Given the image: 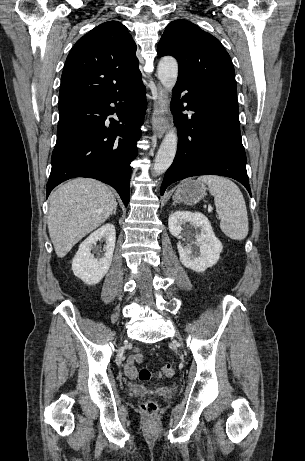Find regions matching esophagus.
<instances>
[{"mask_svg":"<svg viewBox=\"0 0 305 461\" xmlns=\"http://www.w3.org/2000/svg\"><path fill=\"white\" fill-rule=\"evenodd\" d=\"M168 113V99L165 89L157 84V102L154 105V132L158 138H162L167 131L166 115Z\"/></svg>","mask_w":305,"mask_h":461,"instance_id":"1","label":"esophagus"}]
</instances>
